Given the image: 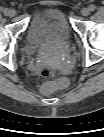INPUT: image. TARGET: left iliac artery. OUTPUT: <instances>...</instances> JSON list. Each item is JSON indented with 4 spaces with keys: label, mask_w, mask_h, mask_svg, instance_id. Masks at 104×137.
Returning <instances> with one entry per match:
<instances>
[{
    "label": "left iliac artery",
    "mask_w": 104,
    "mask_h": 137,
    "mask_svg": "<svg viewBox=\"0 0 104 137\" xmlns=\"http://www.w3.org/2000/svg\"><path fill=\"white\" fill-rule=\"evenodd\" d=\"M95 5H93V4H91L90 6H89V9H90V11H94L95 10Z\"/></svg>",
    "instance_id": "44dca946"
}]
</instances>
